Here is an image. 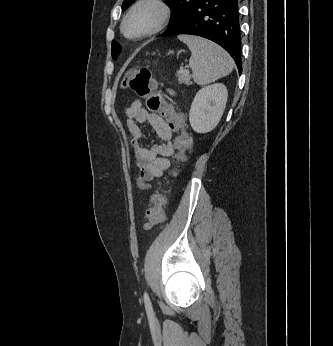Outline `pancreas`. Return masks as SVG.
Segmentation results:
<instances>
[{
    "label": "pancreas",
    "instance_id": "cf45deb5",
    "mask_svg": "<svg viewBox=\"0 0 333 346\" xmlns=\"http://www.w3.org/2000/svg\"><path fill=\"white\" fill-rule=\"evenodd\" d=\"M176 75L178 77L179 83H184L187 86L191 84V76L189 74H185L182 72V70H179L177 71Z\"/></svg>",
    "mask_w": 333,
    "mask_h": 346
}]
</instances>
